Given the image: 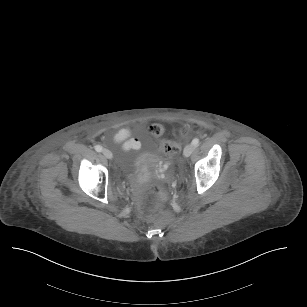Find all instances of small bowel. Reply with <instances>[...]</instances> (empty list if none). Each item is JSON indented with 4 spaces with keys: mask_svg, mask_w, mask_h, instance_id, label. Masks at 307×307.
Returning <instances> with one entry per match:
<instances>
[{
    "mask_svg": "<svg viewBox=\"0 0 307 307\" xmlns=\"http://www.w3.org/2000/svg\"><path fill=\"white\" fill-rule=\"evenodd\" d=\"M131 130L127 127L121 128L114 135V140L117 143H122L125 150L136 149L140 146L137 139L130 138Z\"/></svg>",
    "mask_w": 307,
    "mask_h": 307,
    "instance_id": "c3829d8e",
    "label": "small bowel"
}]
</instances>
